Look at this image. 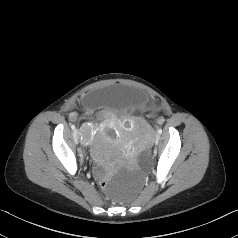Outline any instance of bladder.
<instances>
[{
    "label": "bladder",
    "instance_id": "1",
    "mask_svg": "<svg viewBox=\"0 0 238 238\" xmlns=\"http://www.w3.org/2000/svg\"><path fill=\"white\" fill-rule=\"evenodd\" d=\"M89 108H96L117 115H127L143 109L146 98L143 94L122 85L110 86L96 93L89 92L84 97Z\"/></svg>",
    "mask_w": 238,
    "mask_h": 238
}]
</instances>
